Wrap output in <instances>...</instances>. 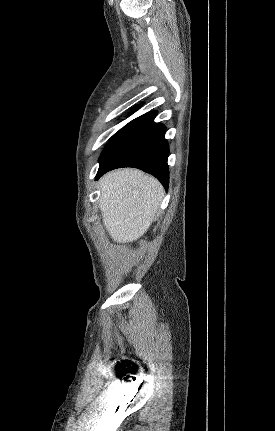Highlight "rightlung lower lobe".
<instances>
[{"label": "right lung lower lobe", "instance_id": "right-lung-lower-lobe-1", "mask_svg": "<svg viewBox=\"0 0 275 431\" xmlns=\"http://www.w3.org/2000/svg\"><path fill=\"white\" fill-rule=\"evenodd\" d=\"M155 116L151 111L132 120L110 140L101 154L96 180L112 169L135 167L152 174L168 189L169 145L165 126L155 123Z\"/></svg>", "mask_w": 275, "mask_h": 431}]
</instances>
